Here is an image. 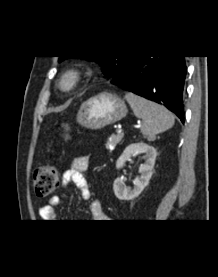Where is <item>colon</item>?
<instances>
[{
  "label": "colon",
  "mask_w": 218,
  "mask_h": 277,
  "mask_svg": "<svg viewBox=\"0 0 218 277\" xmlns=\"http://www.w3.org/2000/svg\"><path fill=\"white\" fill-rule=\"evenodd\" d=\"M69 138L67 127L64 125L60 134V142ZM59 181V171L55 165L46 164L38 167L33 175L34 191L38 198L48 197L56 188Z\"/></svg>",
  "instance_id": "5ec220e1"
}]
</instances>
